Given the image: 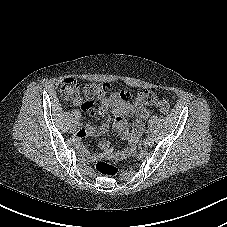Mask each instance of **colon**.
<instances>
[{"instance_id": "obj_1", "label": "colon", "mask_w": 227, "mask_h": 227, "mask_svg": "<svg viewBox=\"0 0 227 227\" xmlns=\"http://www.w3.org/2000/svg\"><path fill=\"white\" fill-rule=\"evenodd\" d=\"M109 91L108 84L87 83L80 84L74 78H66L61 82L60 94L64 99H75L82 92L87 100L99 99ZM136 99L144 105H153L157 102V96L154 92L141 90L137 93ZM158 110L167 115L170 111V105L165 100H160L157 103ZM96 170L105 176L114 177L118 173L117 167L105 162L99 161L95 166Z\"/></svg>"}]
</instances>
